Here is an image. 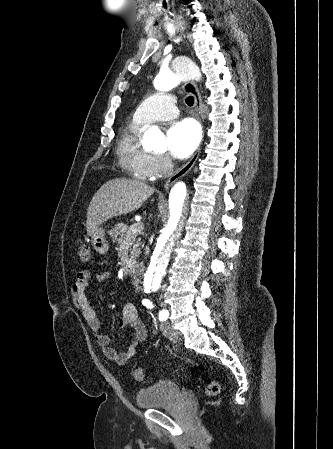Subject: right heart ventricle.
<instances>
[{
  "instance_id": "obj_1",
  "label": "right heart ventricle",
  "mask_w": 333,
  "mask_h": 449,
  "mask_svg": "<svg viewBox=\"0 0 333 449\" xmlns=\"http://www.w3.org/2000/svg\"><path fill=\"white\" fill-rule=\"evenodd\" d=\"M146 125L133 119L119 133L117 155L130 174L139 180L154 178L151 168L152 154L141 146V134Z\"/></svg>"
}]
</instances>
